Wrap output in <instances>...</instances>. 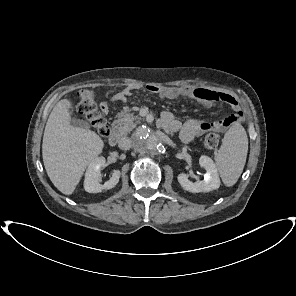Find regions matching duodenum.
<instances>
[{"instance_id": "1", "label": "duodenum", "mask_w": 296, "mask_h": 296, "mask_svg": "<svg viewBox=\"0 0 296 296\" xmlns=\"http://www.w3.org/2000/svg\"><path fill=\"white\" fill-rule=\"evenodd\" d=\"M120 138H121V133L119 131L118 128H113L110 132V135H109V143L110 145L112 146H115L118 144V142L120 141Z\"/></svg>"}]
</instances>
